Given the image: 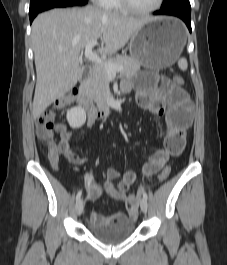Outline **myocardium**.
<instances>
[{
	"mask_svg": "<svg viewBox=\"0 0 227 265\" xmlns=\"http://www.w3.org/2000/svg\"><path fill=\"white\" fill-rule=\"evenodd\" d=\"M120 2L126 11L133 13V14L146 15V14H151L159 10L161 6L163 5L164 0H158L157 3L153 7L148 8V9H138L133 6L130 0H120Z\"/></svg>",
	"mask_w": 227,
	"mask_h": 265,
	"instance_id": "f54148a6",
	"label": "myocardium"
}]
</instances>
